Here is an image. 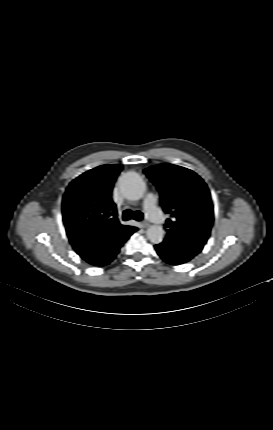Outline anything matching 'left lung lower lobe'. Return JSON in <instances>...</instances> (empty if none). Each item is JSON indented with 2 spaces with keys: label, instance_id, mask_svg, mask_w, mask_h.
I'll use <instances>...</instances> for the list:
<instances>
[{
  "label": "left lung lower lobe",
  "instance_id": "left-lung-lower-lobe-1",
  "mask_svg": "<svg viewBox=\"0 0 273 430\" xmlns=\"http://www.w3.org/2000/svg\"><path fill=\"white\" fill-rule=\"evenodd\" d=\"M155 249L159 256L169 264L179 265L189 261L186 257L182 256L178 250L171 247L168 239H164L162 243L155 245Z\"/></svg>",
  "mask_w": 273,
  "mask_h": 430
}]
</instances>
